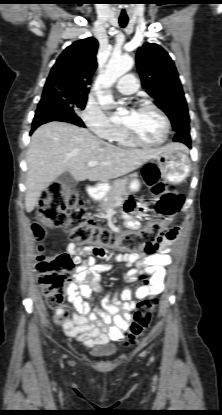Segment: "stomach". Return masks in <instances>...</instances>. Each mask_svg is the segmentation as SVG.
I'll list each match as a JSON object with an SVG mask.
<instances>
[{"label": "stomach", "mask_w": 222, "mask_h": 415, "mask_svg": "<svg viewBox=\"0 0 222 415\" xmlns=\"http://www.w3.org/2000/svg\"><path fill=\"white\" fill-rule=\"evenodd\" d=\"M162 176L174 184L183 182L190 173V160L186 150H168L154 158ZM140 187L138 180H133L130 184L132 191H137Z\"/></svg>", "instance_id": "stomach-1"}]
</instances>
